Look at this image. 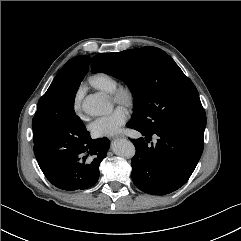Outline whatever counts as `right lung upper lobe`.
I'll return each instance as SVG.
<instances>
[{
	"label": "right lung upper lobe",
	"mask_w": 241,
	"mask_h": 241,
	"mask_svg": "<svg viewBox=\"0 0 241 241\" xmlns=\"http://www.w3.org/2000/svg\"><path fill=\"white\" fill-rule=\"evenodd\" d=\"M89 57L77 56L70 59L55 78L69 77L81 83L89 69Z\"/></svg>",
	"instance_id": "cb5924a9"
}]
</instances>
